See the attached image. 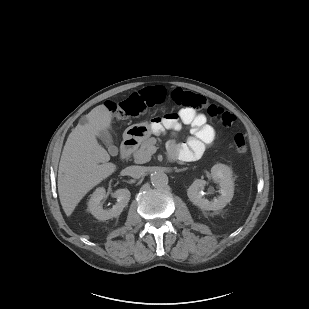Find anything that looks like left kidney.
<instances>
[{
  "mask_svg": "<svg viewBox=\"0 0 309 309\" xmlns=\"http://www.w3.org/2000/svg\"><path fill=\"white\" fill-rule=\"evenodd\" d=\"M213 180L219 184L220 196L213 201L203 197V189L207 182L196 179L188 188L187 195L190 201L203 210H219L224 208L233 198L234 182L232 179V170L224 164H215L211 168Z\"/></svg>",
  "mask_w": 309,
  "mask_h": 309,
  "instance_id": "5707ae66",
  "label": "left kidney"
}]
</instances>
